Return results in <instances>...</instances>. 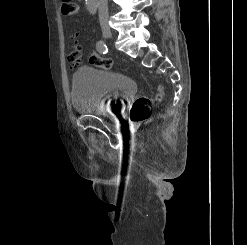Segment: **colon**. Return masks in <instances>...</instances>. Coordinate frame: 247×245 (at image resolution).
<instances>
[{"mask_svg": "<svg viewBox=\"0 0 247 245\" xmlns=\"http://www.w3.org/2000/svg\"><path fill=\"white\" fill-rule=\"evenodd\" d=\"M62 13L65 15L73 16L77 13V5L71 0H62L61 6ZM71 66L76 67L81 63V47L79 44L75 45V51L68 57ZM89 62L91 65L102 68L110 69L113 62L109 58H104L97 55H90ZM158 99L161 98V88ZM152 114V100L147 97H140L136 99L130 110V119L133 123H141L148 120Z\"/></svg>", "mask_w": 247, "mask_h": 245, "instance_id": "obj_1", "label": "colon"}]
</instances>
